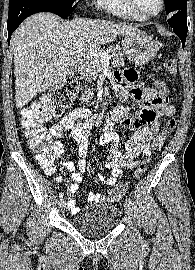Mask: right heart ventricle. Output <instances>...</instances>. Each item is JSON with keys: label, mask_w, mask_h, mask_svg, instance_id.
Instances as JSON below:
<instances>
[{"label": "right heart ventricle", "mask_w": 195, "mask_h": 270, "mask_svg": "<svg viewBox=\"0 0 195 270\" xmlns=\"http://www.w3.org/2000/svg\"><path fill=\"white\" fill-rule=\"evenodd\" d=\"M98 4L114 16L132 21L144 20L129 8L126 0H99Z\"/></svg>", "instance_id": "e07e8e85"}]
</instances>
